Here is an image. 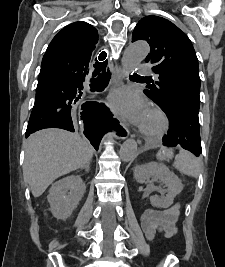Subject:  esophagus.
Here are the masks:
<instances>
[{
  "mask_svg": "<svg viewBox=\"0 0 225 267\" xmlns=\"http://www.w3.org/2000/svg\"><path fill=\"white\" fill-rule=\"evenodd\" d=\"M112 78H113L114 85L119 86L122 84L123 70L121 69L120 66H115L112 69ZM117 120H118L117 136L120 139H126L129 136V131L124 126L121 120L119 119Z\"/></svg>",
  "mask_w": 225,
  "mask_h": 267,
  "instance_id": "esophagus-1",
  "label": "esophagus"
}]
</instances>
